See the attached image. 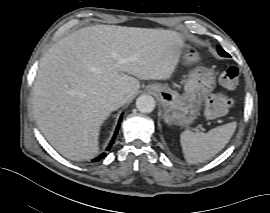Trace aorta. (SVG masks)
I'll return each mask as SVG.
<instances>
[{"label":"aorta","instance_id":"aorta-1","mask_svg":"<svg viewBox=\"0 0 270 213\" xmlns=\"http://www.w3.org/2000/svg\"><path fill=\"white\" fill-rule=\"evenodd\" d=\"M155 100L150 95H141L136 100V107L142 113H150L155 108Z\"/></svg>","mask_w":270,"mask_h":213}]
</instances>
